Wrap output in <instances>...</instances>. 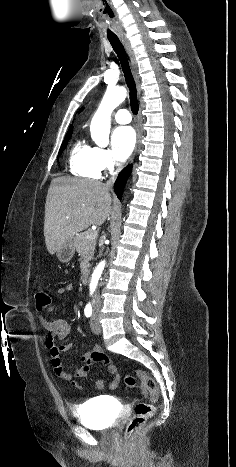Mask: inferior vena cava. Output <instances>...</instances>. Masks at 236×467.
Returning a JSON list of instances; mask_svg holds the SVG:
<instances>
[{
  "label": "inferior vena cava",
  "instance_id": "1",
  "mask_svg": "<svg viewBox=\"0 0 236 467\" xmlns=\"http://www.w3.org/2000/svg\"><path fill=\"white\" fill-rule=\"evenodd\" d=\"M115 182V176L113 175L107 182H106V186L110 189L113 184ZM92 305H93V308H99L100 305H101V300H100V295L99 293L97 292L94 297H93V301H92Z\"/></svg>",
  "mask_w": 236,
  "mask_h": 467
}]
</instances>
